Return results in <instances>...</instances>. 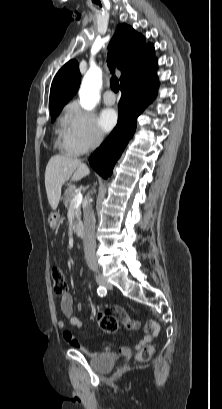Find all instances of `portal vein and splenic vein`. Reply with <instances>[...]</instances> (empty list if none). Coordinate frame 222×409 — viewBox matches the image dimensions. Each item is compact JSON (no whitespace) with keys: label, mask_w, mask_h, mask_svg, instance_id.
<instances>
[{"label":"portal vein and splenic vein","mask_w":222,"mask_h":409,"mask_svg":"<svg viewBox=\"0 0 222 409\" xmlns=\"http://www.w3.org/2000/svg\"><path fill=\"white\" fill-rule=\"evenodd\" d=\"M82 194L81 193H77L76 196L73 198L72 200V205L73 206H79L82 202Z\"/></svg>","instance_id":"1"}]
</instances>
